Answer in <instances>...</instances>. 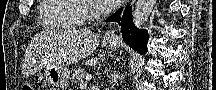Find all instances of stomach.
Listing matches in <instances>:
<instances>
[{"mask_svg": "<svg viewBox=\"0 0 216 90\" xmlns=\"http://www.w3.org/2000/svg\"><path fill=\"white\" fill-rule=\"evenodd\" d=\"M117 45V41L104 42V46L108 49H115ZM44 75L49 84L63 90L66 88L70 77L68 70L60 66H47L44 69Z\"/></svg>", "mask_w": 216, "mask_h": 90, "instance_id": "obj_1", "label": "stomach"}]
</instances>
